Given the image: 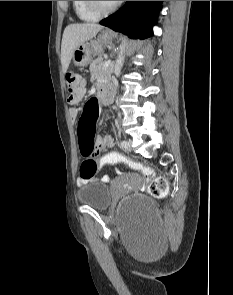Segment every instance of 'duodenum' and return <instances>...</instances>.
Masks as SVG:
<instances>
[{
	"label": "duodenum",
	"instance_id": "obj_1",
	"mask_svg": "<svg viewBox=\"0 0 233 295\" xmlns=\"http://www.w3.org/2000/svg\"><path fill=\"white\" fill-rule=\"evenodd\" d=\"M113 96V90L110 87L101 88V93L99 97L109 99Z\"/></svg>",
	"mask_w": 233,
	"mask_h": 295
}]
</instances>
